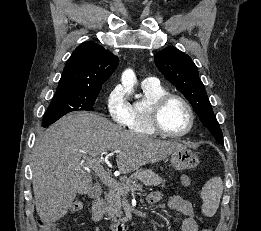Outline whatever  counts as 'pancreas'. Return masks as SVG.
<instances>
[{
  "mask_svg": "<svg viewBox=\"0 0 261 231\" xmlns=\"http://www.w3.org/2000/svg\"><path fill=\"white\" fill-rule=\"evenodd\" d=\"M138 178H142V182L147 186H158L163 182V179L152 170L139 169L129 178L122 177L119 183L122 187L131 188L135 185L134 181ZM126 193L127 192L111 188L105 196L107 217L114 223L126 221V217L123 216L122 212V195Z\"/></svg>",
  "mask_w": 261,
  "mask_h": 231,
  "instance_id": "pancreas-1",
  "label": "pancreas"
}]
</instances>
